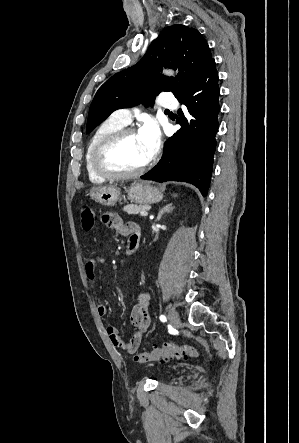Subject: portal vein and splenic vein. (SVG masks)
<instances>
[{
    "label": "portal vein and splenic vein",
    "mask_w": 299,
    "mask_h": 443,
    "mask_svg": "<svg viewBox=\"0 0 299 443\" xmlns=\"http://www.w3.org/2000/svg\"><path fill=\"white\" fill-rule=\"evenodd\" d=\"M140 215L143 216V217H146V216H148V212L147 211H141Z\"/></svg>",
    "instance_id": "obj_1"
}]
</instances>
